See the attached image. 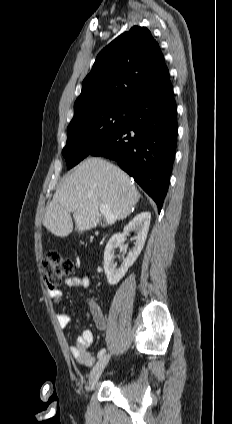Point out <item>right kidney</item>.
<instances>
[{
	"instance_id": "ca27d5eb",
	"label": "right kidney",
	"mask_w": 232,
	"mask_h": 424,
	"mask_svg": "<svg viewBox=\"0 0 232 424\" xmlns=\"http://www.w3.org/2000/svg\"><path fill=\"white\" fill-rule=\"evenodd\" d=\"M150 220V212H142L136 215L129 224L126 225L123 233L114 234L108 241L104 251V271L110 285H116L124 277L128 268L131 267L138 258L147 238ZM131 231L137 234L135 237V246L129 251L121 266L117 268V264L114 261V251L124 243L126 236L129 235Z\"/></svg>"
}]
</instances>
